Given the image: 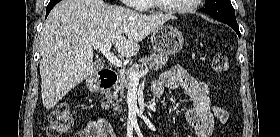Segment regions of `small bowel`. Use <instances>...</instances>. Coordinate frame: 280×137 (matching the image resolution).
<instances>
[{"mask_svg":"<svg viewBox=\"0 0 280 137\" xmlns=\"http://www.w3.org/2000/svg\"><path fill=\"white\" fill-rule=\"evenodd\" d=\"M165 89H181L189 96L192 106L186 111L185 117L193 128L196 137H210L214 130V121L221 124L229 121V113L224 108L215 105L209 97V87L206 82L192 77L183 67L174 66L164 72L153 85V92L161 96ZM98 123L105 125L112 137L114 133L105 119ZM74 137H102L91 134L90 127L80 130Z\"/></svg>","mask_w":280,"mask_h":137,"instance_id":"1","label":"small bowel"}]
</instances>
